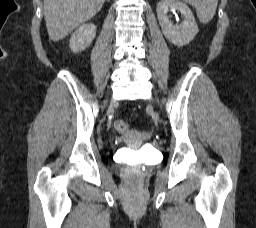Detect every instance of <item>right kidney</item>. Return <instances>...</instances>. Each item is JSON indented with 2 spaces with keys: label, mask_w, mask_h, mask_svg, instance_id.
<instances>
[{
  "label": "right kidney",
  "mask_w": 256,
  "mask_h": 228,
  "mask_svg": "<svg viewBox=\"0 0 256 228\" xmlns=\"http://www.w3.org/2000/svg\"><path fill=\"white\" fill-rule=\"evenodd\" d=\"M96 35V26L92 23L80 26L70 38L71 51L78 53L85 50L94 40Z\"/></svg>",
  "instance_id": "right-kidney-1"
}]
</instances>
